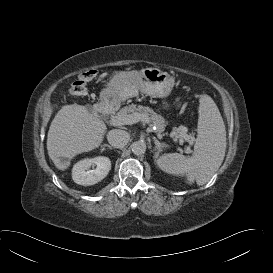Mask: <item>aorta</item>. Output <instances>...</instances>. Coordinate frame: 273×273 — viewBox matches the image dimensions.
Listing matches in <instances>:
<instances>
[{
  "label": "aorta",
  "mask_w": 273,
  "mask_h": 273,
  "mask_svg": "<svg viewBox=\"0 0 273 273\" xmlns=\"http://www.w3.org/2000/svg\"><path fill=\"white\" fill-rule=\"evenodd\" d=\"M131 151L135 155H142L146 151V144L143 141H135L131 144Z\"/></svg>",
  "instance_id": "obj_1"
}]
</instances>
